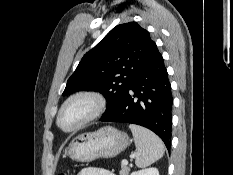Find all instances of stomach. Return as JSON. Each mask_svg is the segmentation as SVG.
I'll use <instances>...</instances> for the list:
<instances>
[{
  "label": "stomach",
  "instance_id": "stomach-1",
  "mask_svg": "<svg viewBox=\"0 0 233 175\" xmlns=\"http://www.w3.org/2000/svg\"><path fill=\"white\" fill-rule=\"evenodd\" d=\"M128 145L129 137L126 133L106 126L74 138L66 153L77 162H90L98 158H114Z\"/></svg>",
  "mask_w": 233,
  "mask_h": 175
}]
</instances>
